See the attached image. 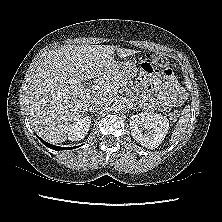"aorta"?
<instances>
[{"mask_svg":"<svg viewBox=\"0 0 222 222\" xmlns=\"http://www.w3.org/2000/svg\"><path fill=\"white\" fill-rule=\"evenodd\" d=\"M112 108L115 112H120L123 110L124 108V105L123 103L120 101V100H116L113 105H112Z\"/></svg>","mask_w":222,"mask_h":222,"instance_id":"obj_1","label":"aorta"}]
</instances>
